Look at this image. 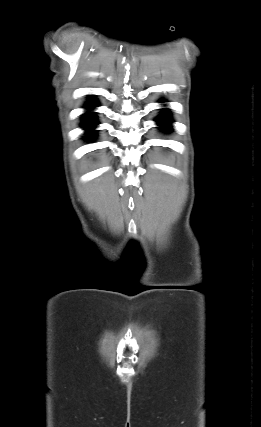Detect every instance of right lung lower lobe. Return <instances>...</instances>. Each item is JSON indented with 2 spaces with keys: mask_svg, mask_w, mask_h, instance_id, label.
<instances>
[{
  "mask_svg": "<svg viewBox=\"0 0 261 427\" xmlns=\"http://www.w3.org/2000/svg\"><path fill=\"white\" fill-rule=\"evenodd\" d=\"M96 105H97L96 102L93 99H91V101L89 102V104H87L86 107L87 108H92V107H95ZM95 125H97V120H96L95 114H93L91 112L86 113L85 116L83 117V124H82V126L84 128H91V127H93ZM86 134L88 136H90V137H94L95 136V131L94 130H88L86 132Z\"/></svg>",
  "mask_w": 261,
  "mask_h": 427,
  "instance_id": "obj_1",
  "label": "right lung lower lobe"
}]
</instances>
